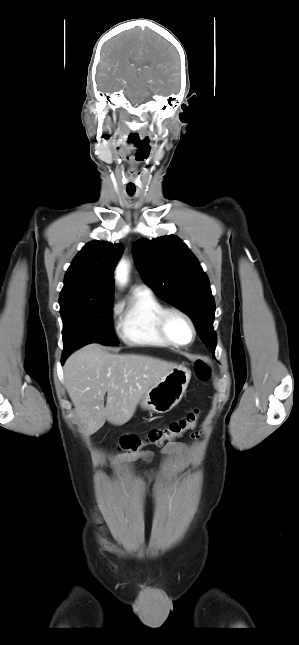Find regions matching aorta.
Masks as SVG:
<instances>
[{
    "instance_id": "762f6f07",
    "label": "aorta",
    "mask_w": 299,
    "mask_h": 645,
    "mask_svg": "<svg viewBox=\"0 0 299 645\" xmlns=\"http://www.w3.org/2000/svg\"><path fill=\"white\" fill-rule=\"evenodd\" d=\"M126 267H127V265H126V263H125V262H123V261H122V262H120V264L118 265V268H117V272H116V274H117V278H118V280H119V281H121V282H125V281H126V278H127V271H126Z\"/></svg>"
}]
</instances>
